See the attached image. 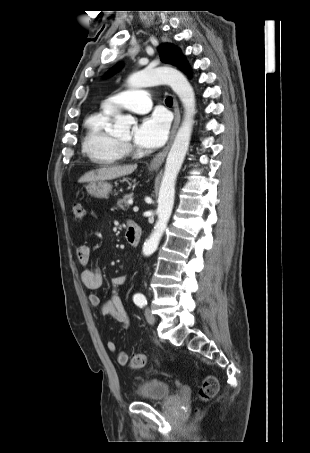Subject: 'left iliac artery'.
I'll list each match as a JSON object with an SVG mask.
<instances>
[{
	"mask_svg": "<svg viewBox=\"0 0 310 453\" xmlns=\"http://www.w3.org/2000/svg\"><path fill=\"white\" fill-rule=\"evenodd\" d=\"M133 301L139 307H144L145 305H147L146 297L143 294H140V293H137V294L134 295Z\"/></svg>",
	"mask_w": 310,
	"mask_h": 453,
	"instance_id": "obj_1",
	"label": "left iliac artery"
}]
</instances>
